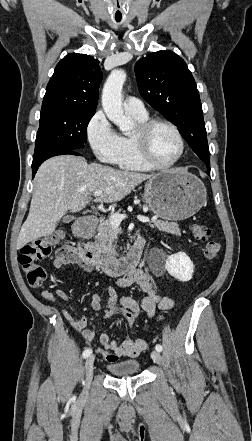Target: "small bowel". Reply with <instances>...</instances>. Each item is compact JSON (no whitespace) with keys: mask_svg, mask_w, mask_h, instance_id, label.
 Listing matches in <instances>:
<instances>
[{"mask_svg":"<svg viewBox=\"0 0 252 441\" xmlns=\"http://www.w3.org/2000/svg\"><path fill=\"white\" fill-rule=\"evenodd\" d=\"M136 243H143V240L139 239ZM71 264H77L86 271H92L94 269L93 266L83 262L81 257L76 253L74 247L63 245L56 251L54 266L61 268ZM134 284L138 285L144 293L141 302H138L129 296H118L116 288L129 287ZM105 292L107 294V300L105 303L103 302L101 295L97 293L90 295V307L96 314L110 305H136L138 309L144 311L149 318L159 321L162 318L159 311L168 310L174 304V301L171 298L161 296L157 293L151 275L143 270H132L127 272L122 277L118 278L114 285H108L105 288ZM42 295L45 299L51 301H55L57 298L64 301L69 300L68 293L61 289H57L54 293L44 291ZM61 313L70 326L80 333L86 342H91L94 339L95 332L89 326L84 315L75 318L67 310H62ZM99 341L104 350L111 351L117 355V357H137L147 346L146 342L142 339H128L122 343H117L105 333L100 335Z\"/></svg>","mask_w":252,"mask_h":441,"instance_id":"1","label":"small bowel"}]
</instances>
